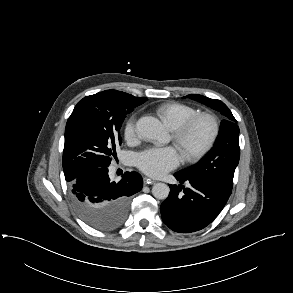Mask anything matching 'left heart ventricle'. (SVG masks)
<instances>
[{"mask_svg": "<svg viewBox=\"0 0 293 293\" xmlns=\"http://www.w3.org/2000/svg\"><path fill=\"white\" fill-rule=\"evenodd\" d=\"M208 133L209 126L206 123L201 122L197 124L187 137V145L191 148L200 147L206 140Z\"/></svg>", "mask_w": 293, "mask_h": 293, "instance_id": "1", "label": "left heart ventricle"}]
</instances>
